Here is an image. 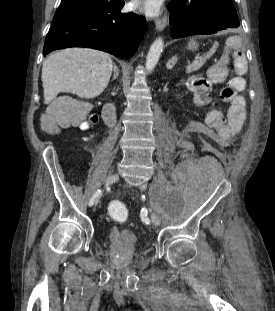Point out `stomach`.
Returning a JSON list of instances; mask_svg holds the SVG:
<instances>
[{
  "mask_svg": "<svg viewBox=\"0 0 275 311\" xmlns=\"http://www.w3.org/2000/svg\"><path fill=\"white\" fill-rule=\"evenodd\" d=\"M188 48L190 50H196L198 48V44L196 42H190Z\"/></svg>",
  "mask_w": 275,
  "mask_h": 311,
  "instance_id": "1",
  "label": "stomach"
}]
</instances>
